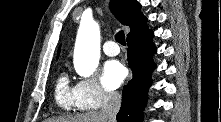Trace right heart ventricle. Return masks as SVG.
Wrapping results in <instances>:
<instances>
[{
	"label": "right heart ventricle",
	"mask_w": 221,
	"mask_h": 122,
	"mask_svg": "<svg viewBox=\"0 0 221 122\" xmlns=\"http://www.w3.org/2000/svg\"><path fill=\"white\" fill-rule=\"evenodd\" d=\"M74 90L75 86L70 85L68 75L61 73L55 85V101L63 110L70 111L77 107Z\"/></svg>",
	"instance_id": "right-heart-ventricle-1"
}]
</instances>
